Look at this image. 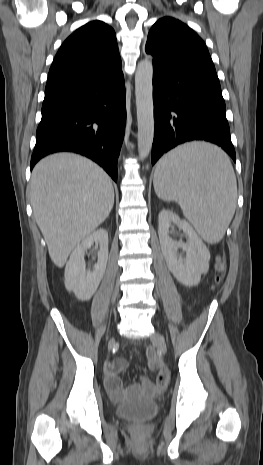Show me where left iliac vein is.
Listing matches in <instances>:
<instances>
[{"label": "left iliac vein", "instance_id": "obj_1", "mask_svg": "<svg viewBox=\"0 0 263 465\" xmlns=\"http://www.w3.org/2000/svg\"><path fill=\"white\" fill-rule=\"evenodd\" d=\"M150 339L163 354H167V345L164 337L160 333L154 332L150 336Z\"/></svg>", "mask_w": 263, "mask_h": 465}]
</instances>
